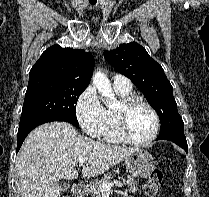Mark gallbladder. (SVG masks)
Here are the masks:
<instances>
[{
    "mask_svg": "<svg viewBox=\"0 0 209 197\" xmlns=\"http://www.w3.org/2000/svg\"><path fill=\"white\" fill-rule=\"evenodd\" d=\"M60 187H61V190H62V191H65V190L68 189V184H65V183H64V184H62Z\"/></svg>",
    "mask_w": 209,
    "mask_h": 197,
    "instance_id": "gallbladder-1",
    "label": "gallbladder"
}]
</instances>
